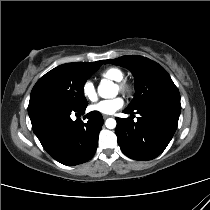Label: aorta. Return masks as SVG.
Masks as SVG:
<instances>
[{
	"label": "aorta",
	"instance_id": "obj_1",
	"mask_svg": "<svg viewBox=\"0 0 210 210\" xmlns=\"http://www.w3.org/2000/svg\"><path fill=\"white\" fill-rule=\"evenodd\" d=\"M98 93L102 98H110L115 95L114 84L110 82L102 83L98 87ZM108 129H114L116 127V120L113 118H108L105 122Z\"/></svg>",
	"mask_w": 210,
	"mask_h": 210
}]
</instances>
